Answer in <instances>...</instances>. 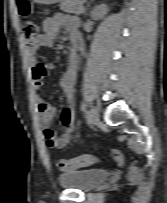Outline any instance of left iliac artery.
Returning a JSON list of instances; mask_svg holds the SVG:
<instances>
[{
	"label": "left iliac artery",
	"mask_w": 167,
	"mask_h": 203,
	"mask_svg": "<svg viewBox=\"0 0 167 203\" xmlns=\"http://www.w3.org/2000/svg\"><path fill=\"white\" fill-rule=\"evenodd\" d=\"M86 108H87V104H86L85 102H83V103L81 104V111H85Z\"/></svg>",
	"instance_id": "obj_1"
}]
</instances>
